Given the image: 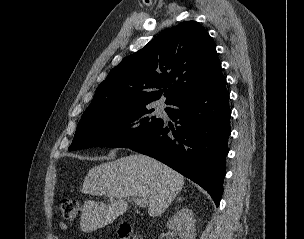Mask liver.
Here are the masks:
<instances>
[{"mask_svg":"<svg viewBox=\"0 0 304 239\" xmlns=\"http://www.w3.org/2000/svg\"><path fill=\"white\" fill-rule=\"evenodd\" d=\"M184 177L161 162L141 154L102 163L87 173L84 194L106 196L109 204L86 200L80 228L92 232L113 222L128 208L127 197L145 198L148 213L162 214L182 190Z\"/></svg>","mask_w":304,"mask_h":239,"instance_id":"obj_1","label":"liver"}]
</instances>
